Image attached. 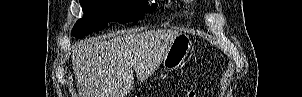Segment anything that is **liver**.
Returning a JSON list of instances; mask_svg holds the SVG:
<instances>
[{"label":"liver","mask_w":302,"mask_h":97,"mask_svg":"<svg viewBox=\"0 0 302 97\" xmlns=\"http://www.w3.org/2000/svg\"><path fill=\"white\" fill-rule=\"evenodd\" d=\"M181 32L119 33L111 40L90 39L72 53L79 97H126L138 77L150 74Z\"/></svg>","instance_id":"obj_1"}]
</instances>
